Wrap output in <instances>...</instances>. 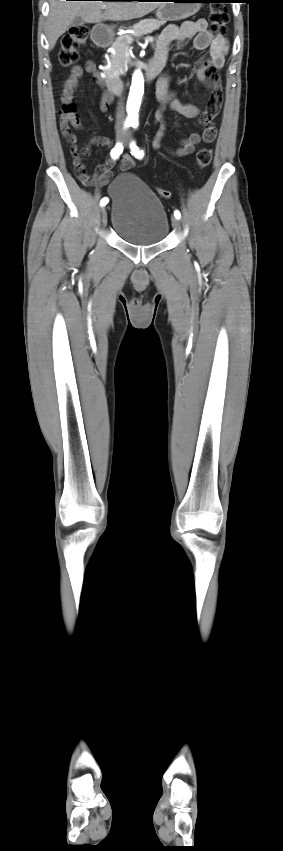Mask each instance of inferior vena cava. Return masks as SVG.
<instances>
[{"mask_svg":"<svg viewBox=\"0 0 283 851\" xmlns=\"http://www.w3.org/2000/svg\"><path fill=\"white\" fill-rule=\"evenodd\" d=\"M124 121H125L124 103H123L122 99H120V102H118V107H117V111H116V125H115V127H116L117 131H120V132L124 131Z\"/></svg>","mask_w":283,"mask_h":851,"instance_id":"inferior-vena-cava-1","label":"inferior vena cava"}]
</instances>
